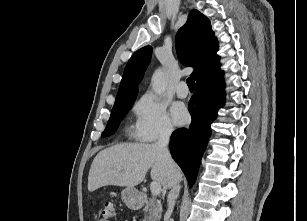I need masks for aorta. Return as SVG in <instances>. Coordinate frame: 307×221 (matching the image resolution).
<instances>
[{
  "instance_id": "aorta-1",
  "label": "aorta",
  "mask_w": 307,
  "mask_h": 221,
  "mask_svg": "<svg viewBox=\"0 0 307 221\" xmlns=\"http://www.w3.org/2000/svg\"><path fill=\"white\" fill-rule=\"evenodd\" d=\"M167 77L162 68L155 70L151 78V86L155 94L162 96L167 88Z\"/></svg>"
}]
</instances>
